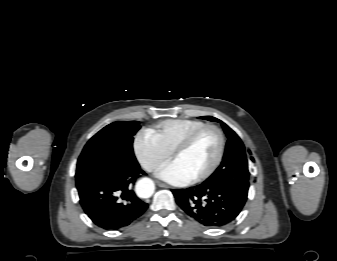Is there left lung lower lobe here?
I'll list each match as a JSON object with an SVG mask.
<instances>
[{
    "label": "left lung lower lobe",
    "instance_id": "0a47b994",
    "mask_svg": "<svg viewBox=\"0 0 337 261\" xmlns=\"http://www.w3.org/2000/svg\"><path fill=\"white\" fill-rule=\"evenodd\" d=\"M176 203L192 219L207 227H222L241 212L246 199L232 189L215 184H200L172 190Z\"/></svg>",
    "mask_w": 337,
    "mask_h": 261
}]
</instances>
